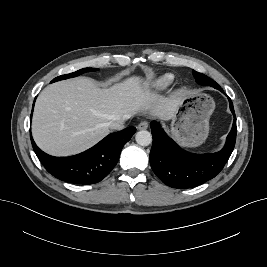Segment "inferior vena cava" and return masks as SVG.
<instances>
[{"instance_id":"inferior-vena-cava-1","label":"inferior vena cava","mask_w":267,"mask_h":267,"mask_svg":"<svg viewBox=\"0 0 267 267\" xmlns=\"http://www.w3.org/2000/svg\"><path fill=\"white\" fill-rule=\"evenodd\" d=\"M124 119L114 120L109 123V128L113 130H121L124 128Z\"/></svg>"}]
</instances>
